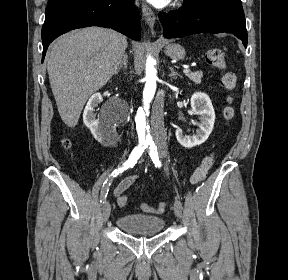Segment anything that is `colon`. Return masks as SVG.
<instances>
[{"label": "colon", "instance_id": "1", "mask_svg": "<svg viewBox=\"0 0 288 280\" xmlns=\"http://www.w3.org/2000/svg\"><path fill=\"white\" fill-rule=\"evenodd\" d=\"M206 62L215 68L220 70H225L227 67L224 51L219 47L209 48L205 53ZM236 74L234 72H226L222 77V83L224 87L228 90H232L236 85ZM224 118L227 121H231L235 116V110L231 104L227 105L223 112ZM63 146L68 149L70 148V141L67 138L62 140ZM215 162V157L213 154L206 156L201 164L194 170L191 176V183L198 184L202 182L208 175L209 170L212 168ZM120 204L125 206L127 203V197L124 196L120 199ZM141 208L143 211L153 214H161L165 210V203L160 202L156 205H149L146 203L141 204Z\"/></svg>", "mask_w": 288, "mask_h": 280}]
</instances>
